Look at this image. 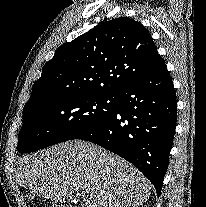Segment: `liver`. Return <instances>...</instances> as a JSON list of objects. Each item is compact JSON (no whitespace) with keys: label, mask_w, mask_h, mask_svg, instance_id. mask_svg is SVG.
Returning <instances> with one entry per match:
<instances>
[{"label":"liver","mask_w":206,"mask_h":207,"mask_svg":"<svg viewBox=\"0 0 206 207\" xmlns=\"http://www.w3.org/2000/svg\"><path fill=\"white\" fill-rule=\"evenodd\" d=\"M21 187L53 202L81 192L82 207H137L151 194L150 182L132 164L83 140L60 143L22 158Z\"/></svg>","instance_id":"obj_1"}]
</instances>
